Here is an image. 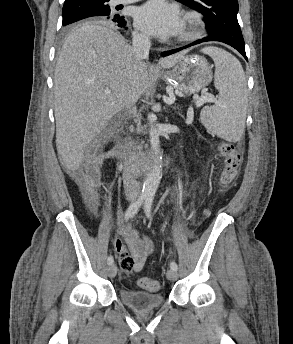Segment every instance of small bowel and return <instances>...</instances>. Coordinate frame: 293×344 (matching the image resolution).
I'll return each instance as SVG.
<instances>
[{
    "label": "small bowel",
    "mask_w": 293,
    "mask_h": 344,
    "mask_svg": "<svg viewBox=\"0 0 293 344\" xmlns=\"http://www.w3.org/2000/svg\"><path fill=\"white\" fill-rule=\"evenodd\" d=\"M92 203L97 206L98 198L92 187L87 188ZM113 247L117 252V260L121 270L126 274L140 272L154 250V243L150 237H140L130 225H123L120 237L113 239Z\"/></svg>",
    "instance_id": "obj_1"
}]
</instances>
